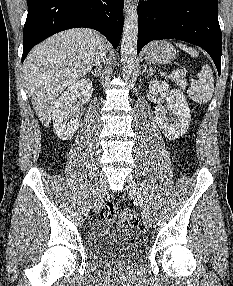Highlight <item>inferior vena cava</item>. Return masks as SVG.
Here are the masks:
<instances>
[{
    "mask_svg": "<svg viewBox=\"0 0 233 286\" xmlns=\"http://www.w3.org/2000/svg\"><path fill=\"white\" fill-rule=\"evenodd\" d=\"M106 57V51H105V46L102 43L101 45H99L98 47V51L96 54V58H95V63L97 66L101 65L102 62H104Z\"/></svg>",
    "mask_w": 233,
    "mask_h": 286,
    "instance_id": "1",
    "label": "inferior vena cava"
}]
</instances>
